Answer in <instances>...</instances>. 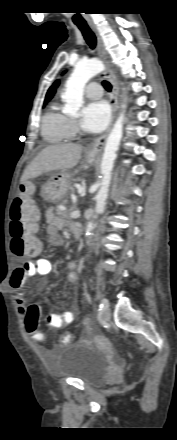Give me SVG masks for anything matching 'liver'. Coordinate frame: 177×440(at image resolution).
Returning a JSON list of instances; mask_svg holds the SVG:
<instances>
[{"label": "liver", "instance_id": "1", "mask_svg": "<svg viewBox=\"0 0 177 440\" xmlns=\"http://www.w3.org/2000/svg\"><path fill=\"white\" fill-rule=\"evenodd\" d=\"M82 146L77 144L51 145L43 149L27 166L21 182L55 170L75 167L81 159Z\"/></svg>", "mask_w": 177, "mask_h": 440}]
</instances>
